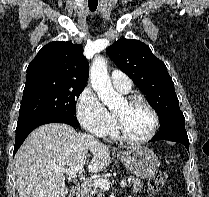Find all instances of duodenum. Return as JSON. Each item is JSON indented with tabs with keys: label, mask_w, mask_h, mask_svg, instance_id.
<instances>
[{
	"label": "duodenum",
	"mask_w": 209,
	"mask_h": 197,
	"mask_svg": "<svg viewBox=\"0 0 209 197\" xmlns=\"http://www.w3.org/2000/svg\"><path fill=\"white\" fill-rule=\"evenodd\" d=\"M83 196V190L81 187H74L72 189V192L70 194V197H82Z\"/></svg>",
	"instance_id": "1"
}]
</instances>
